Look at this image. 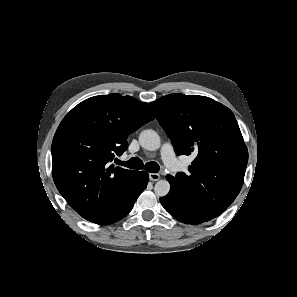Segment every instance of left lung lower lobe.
<instances>
[{"label": "left lung lower lobe", "mask_w": 297, "mask_h": 297, "mask_svg": "<svg viewBox=\"0 0 297 297\" xmlns=\"http://www.w3.org/2000/svg\"><path fill=\"white\" fill-rule=\"evenodd\" d=\"M166 178L168 179V175ZM160 201L169 214L185 224L196 225L215 218L213 214L186 199L176 188L171 187L169 194L162 197Z\"/></svg>", "instance_id": "0a47b994"}]
</instances>
